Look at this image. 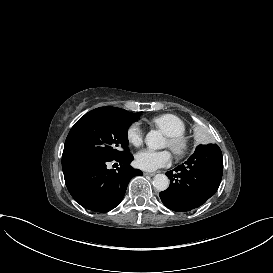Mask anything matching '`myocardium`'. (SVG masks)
Masks as SVG:
<instances>
[{"label": "myocardium", "instance_id": "myocardium-1", "mask_svg": "<svg viewBox=\"0 0 273 273\" xmlns=\"http://www.w3.org/2000/svg\"><path fill=\"white\" fill-rule=\"evenodd\" d=\"M169 146L177 155H182L188 148V141L183 135L168 136Z\"/></svg>", "mask_w": 273, "mask_h": 273}]
</instances>
